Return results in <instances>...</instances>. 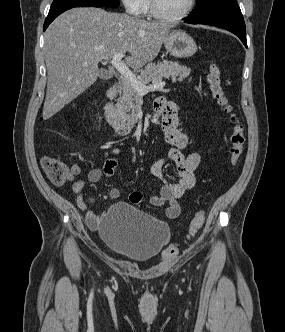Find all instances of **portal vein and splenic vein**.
I'll return each mask as SVG.
<instances>
[{"label":"portal vein and splenic vein","instance_id":"obj_1","mask_svg":"<svg viewBox=\"0 0 285 332\" xmlns=\"http://www.w3.org/2000/svg\"><path fill=\"white\" fill-rule=\"evenodd\" d=\"M123 57V53H117L114 55L110 63L113 65V67L116 68V70L125 78L127 79L131 86L141 95L147 94L149 91H155V90H162L165 86L164 81H156L150 86H146L144 83L139 81L135 74L131 72V70L122 63L121 59Z\"/></svg>","mask_w":285,"mask_h":332}]
</instances>
